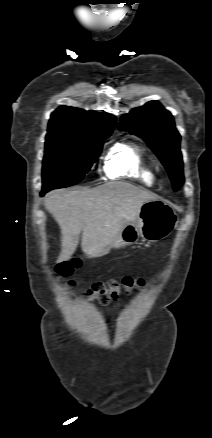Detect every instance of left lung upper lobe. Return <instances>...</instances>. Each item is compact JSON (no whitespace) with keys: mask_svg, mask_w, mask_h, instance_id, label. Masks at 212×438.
<instances>
[{"mask_svg":"<svg viewBox=\"0 0 212 438\" xmlns=\"http://www.w3.org/2000/svg\"><path fill=\"white\" fill-rule=\"evenodd\" d=\"M120 130L145 140L159 157L177 191L184 182L183 161L180 151V134L173 116L158 101H150L121 117Z\"/></svg>","mask_w":212,"mask_h":438,"instance_id":"obj_1","label":"left lung upper lobe"}]
</instances>
